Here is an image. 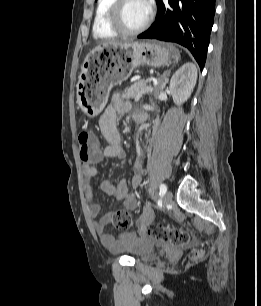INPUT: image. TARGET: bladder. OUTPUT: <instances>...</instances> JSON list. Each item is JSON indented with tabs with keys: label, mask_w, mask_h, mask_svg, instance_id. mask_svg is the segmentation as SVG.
Listing matches in <instances>:
<instances>
[{
	"label": "bladder",
	"mask_w": 261,
	"mask_h": 306,
	"mask_svg": "<svg viewBox=\"0 0 261 306\" xmlns=\"http://www.w3.org/2000/svg\"><path fill=\"white\" fill-rule=\"evenodd\" d=\"M155 244L140 240L133 246L132 256L137 262H150L155 259Z\"/></svg>",
	"instance_id": "31cf9c89"
}]
</instances>
